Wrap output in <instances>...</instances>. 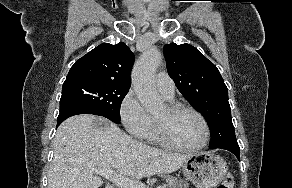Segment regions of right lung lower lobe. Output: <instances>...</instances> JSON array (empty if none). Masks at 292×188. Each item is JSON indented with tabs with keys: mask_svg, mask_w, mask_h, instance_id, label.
Instances as JSON below:
<instances>
[{
	"mask_svg": "<svg viewBox=\"0 0 292 188\" xmlns=\"http://www.w3.org/2000/svg\"><path fill=\"white\" fill-rule=\"evenodd\" d=\"M78 114H92V113L80 108H67V109L60 110L59 116L57 118V126H59L68 117H71L73 115H78Z\"/></svg>",
	"mask_w": 292,
	"mask_h": 188,
	"instance_id": "1",
	"label": "right lung lower lobe"
}]
</instances>
